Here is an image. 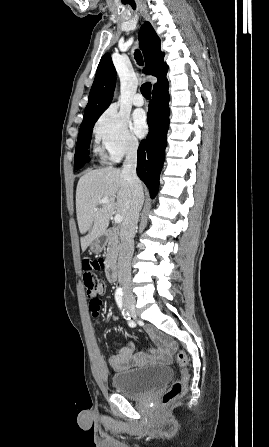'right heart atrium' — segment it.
<instances>
[{"label":"right heart atrium","instance_id":"obj_1","mask_svg":"<svg viewBox=\"0 0 269 447\" xmlns=\"http://www.w3.org/2000/svg\"><path fill=\"white\" fill-rule=\"evenodd\" d=\"M93 134L101 146V152L111 160H119L124 155L136 151L137 137L129 127V120L116 107H108L97 119Z\"/></svg>","mask_w":269,"mask_h":447}]
</instances>
